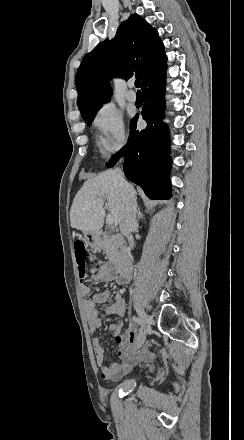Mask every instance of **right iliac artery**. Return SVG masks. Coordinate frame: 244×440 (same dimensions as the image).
Masks as SVG:
<instances>
[{"label":"right iliac artery","mask_w":244,"mask_h":440,"mask_svg":"<svg viewBox=\"0 0 244 440\" xmlns=\"http://www.w3.org/2000/svg\"><path fill=\"white\" fill-rule=\"evenodd\" d=\"M132 320H133L135 323L139 324V325H142V324H143V323H142V320H141L139 317L133 316V317H132Z\"/></svg>","instance_id":"obj_1"}]
</instances>
